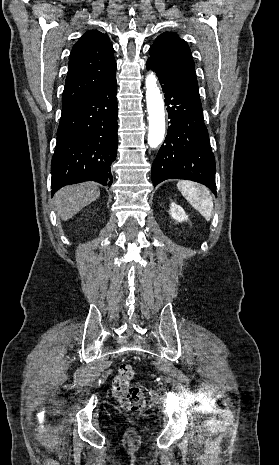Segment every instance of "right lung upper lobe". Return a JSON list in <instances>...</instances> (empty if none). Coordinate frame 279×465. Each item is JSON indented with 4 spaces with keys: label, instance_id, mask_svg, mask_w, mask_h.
<instances>
[{
    "label": "right lung upper lobe",
    "instance_id": "cb5924a9",
    "mask_svg": "<svg viewBox=\"0 0 279 465\" xmlns=\"http://www.w3.org/2000/svg\"><path fill=\"white\" fill-rule=\"evenodd\" d=\"M113 47L108 36L96 30L87 31L73 46L65 88L62 113L89 98L116 72Z\"/></svg>",
    "mask_w": 279,
    "mask_h": 465
}]
</instances>
